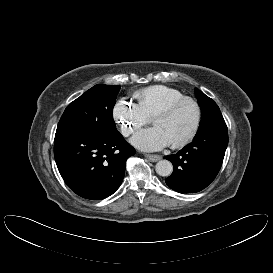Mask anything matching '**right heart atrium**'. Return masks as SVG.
<instances>
[{"mask_svg":"<svg viewBox=\"0 0 273 273\" xmlns=\"http://www.w3.org/2000/svg\"><path fill=\"white\" fill-rule=\"evenodd\" d=\"M112 117L124 136L133 134L140 127L149 123V118L137 104L126 100H120L114 105Z\"/></svg>","mask_w":273,"mask_h":273,"instance_id":"obj_1","label":"right heart atrium"}]
</instances>
